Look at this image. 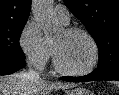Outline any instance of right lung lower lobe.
I'll list each match as a JSON object with an SVG mask.
<instances>
[{
  "label": "right lung lower lobe",
  "mask_w": 119,
  "mask_h": 95,
  "mask_svg": "<svg viewBox=\"0 0 119 95\" xmlns=\"http://www.w3.org/2000/svg\"><path fill=\"white\" fill-rule=\"evenodd\" d=\"M25 66V60L0 59V75L12 74Z\"/></svg>",
  "instance_id": "1"
}]
</instances>
